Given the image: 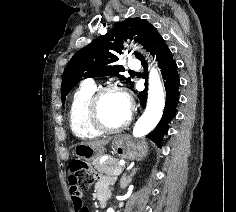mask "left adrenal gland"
<instances>
[{
    "label": "left adrenal gland",
    "instance_id": "obj_1",
    "mask_svg": "<svg viewBox=\"0 0 236 212\" xmlns=\"http://www.w3.org/2000/svg\"><path fill=\"white\" fill-rule=\"evenodd\" d=\"M136 171H137V168H134L129 175H127V173L122 175L120 179V187L122 189H125L127 185L131 182L132 177L135 175Z\"/></svg>",
    "mask_w": 236,
    "mask_h": 212
}]
</instances>
